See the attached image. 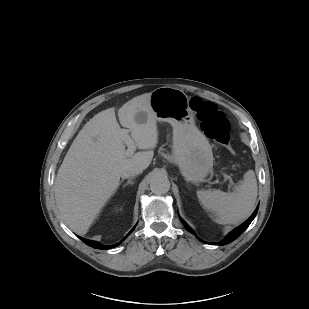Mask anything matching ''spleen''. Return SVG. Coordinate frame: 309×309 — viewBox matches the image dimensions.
<instances>
[{
    "mask_svg": "<svg viewBox=\"0 0 309 309\" xmlns=\"http://www.w3.org/2000/svg\"><path fill=\"white\" fill-rule=\"evenodd\" d=\"M257 181L252 170L247 171L236 191L198 190L201 205L223 224H237L253 211L257 199Z\"/></svg>",
    "mask_w": 309,
    "mask_h": 309,
    "instance_id": "1",
    "label": "spleen"
}]
</instances>
